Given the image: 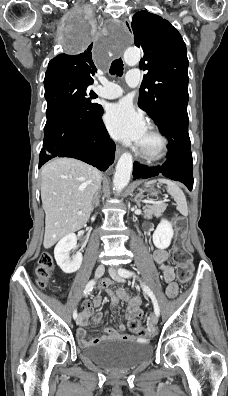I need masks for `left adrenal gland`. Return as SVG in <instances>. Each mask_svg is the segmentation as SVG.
I'll list each match as a JSON object with an SVG mask.
<instances>
[{
    "mask_svg": "<svg viewBox=\"0 0 228 396\" xmlns=\"http://www.w3.org/2000/svg\"><path fill=\"white\" fill-rule=\"evenodd\" d=\"M143 197H144L143 190L139 189V193L136 195V197L134 199V201L137 203V205H140V202L142 201Z\"/></svg>",
    "mask_w": 228,
    "mask_h": 396,
    "instance_id": "obj_1",
    "label": "left adrenal gland"
}]
</instances>
